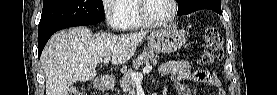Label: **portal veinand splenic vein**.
I'll list each match as a JSON object with an SVG mask.
<instances>
[{"label":"portal vein and splenic vein","mask_w":277,"mask_h":95,"mask_svg":"<svg viewBox=\"0 0 277 95\" xmlns=\"http://www.w3.org/2000/svg\"><path fill=\"white\" fill-rule=\"evenodd\" d=\"M110 61V58H105L103 60L104 63H108ZM152 70V66L151 65H146L143 69L142 72H133L130 74V78L133 81H139L143 79V74L149 73Z\"/></svg>","instance_id":"18ae733b"}]
</instances>
